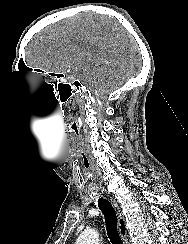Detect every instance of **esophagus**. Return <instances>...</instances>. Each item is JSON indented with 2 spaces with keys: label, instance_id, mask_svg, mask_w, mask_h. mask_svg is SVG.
<instances>
[{
  "label": "esophagus",
  "instance_id": "obj_1",
  "mask_svg": "<svg viewBox=\"0 0 188 244\" xmlns=\"http://www.w3.org/2000/svg\"><path fill=\"white\" fill-rule=\"evenodd\" d=\"M110 200L113 203V205L118 209V231L123 240V243L127 244L128 234H127L125 219H124L123 215L120 213L117 202L115 200H113L112 197H110Z\"/></svg>",
  "mask_w": 188,
  "mask_h": 244
}]
</instances>
